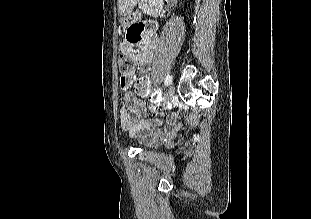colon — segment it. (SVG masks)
Segmentation results:
<instances>
[{
	"label": "colon",
	"mask_w": 311,
	"mask_h": 219,
	"mask_svg": "<svg viewBox=\"0 0 311 219\" xmlns=\"http://www.w3.org/2000/svg\"><path fill=\"white\" fill-rule=\"evenodd\" d=\"M141 26L134 25L130 27L126 34V39L130 42H134L138 39L141 31ZM134 68V61L130 56L120 55L118 58V70L120 72V85L124 87L127 85V75L132 72ZM137 92L140 95H146L148 92V86L145 81H139L137 84Z\"/></svg>",
	"instance_id": "obj_1"
}]
</instances>
